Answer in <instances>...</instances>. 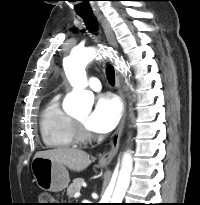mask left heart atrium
<instances>
[{
  "mask_svg": "<svg viewBox=\"0 0 200 205\" xmlns=\"http://www.w3.org/2000/svg\"><path fill=\"white\" fill-rule=\"evenodd\" d=\"M121 116L118 100L109 94L101 95L86 119L87 129L94 133H108L115 128Z\"/></svg>",
  "mask_w": 200,
  "mask_h": 205,
  "instance_id": "39dd6f15",
  "label": "left heart atrium"
}]
</instances>
